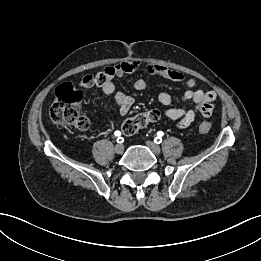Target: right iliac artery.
<instances>
[{"label":"right iliac artery","instance_id":"82829eb1","mask_svg":"<svg viewBox=\"0 0 261 261\" xmlns=\"http://www.w3.org/2000/svg\"><path fill=\"white\" fill-rule=\"evenodd\" d=\"M115 136H118L117 143H120V144L123 143L124 139L122 137H120L121 136V132L120 131H116L115 132Z\"/></svg>","mask_w":261,"mask_h":261}]
</instances>
